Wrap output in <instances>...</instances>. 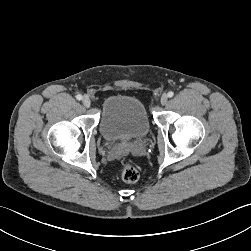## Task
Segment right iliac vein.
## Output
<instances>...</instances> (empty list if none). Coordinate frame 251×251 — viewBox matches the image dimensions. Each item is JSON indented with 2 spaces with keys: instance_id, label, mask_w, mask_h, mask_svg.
Masks as SVG:
<instances>
[{
  "instance_id": "63e3f726",
  "label": "right iliac vein",
  "mask_w": 251,
  "mask_h": 251,
  "mask_svg": "<svg viewBox=\"0 0 251 251\" xmlns=\"http://www.w3.org/2000/svg\"><path fill=\"white\" fill-rule=\"evenodd\" d=\"M82 103L85 107H90L91 105V100L88 96H84L83 99H82Z\"/></svg>"
}]
</instances>
